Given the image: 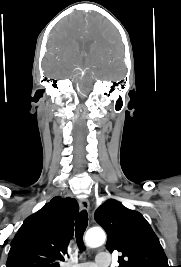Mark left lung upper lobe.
<instances>
[{
	"mask_svg": "<svg viewBox=\"0 0 181 267\" xmlns=\"http://www.w3.org/2000/svg\"><path fill=\"white\" fill-rule=\"evenodd\" d=\"M95 220L107 233L108 251L122 253L118 267H169L159 239L139 212L109 199L97 209Z\"/></svg>",
	"mask_w": 181,
	"mask_h": 267,
	"instance_id": "5c2ea615",
	"label": "left lung upper lobe"
}]
</instances>
